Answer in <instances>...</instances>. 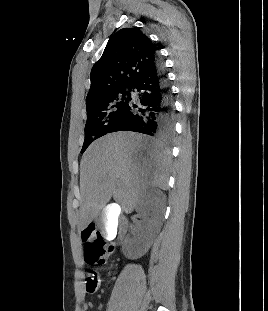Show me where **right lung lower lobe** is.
<instances>
[{
    "label": "right lung lower lobe",
    "mask_w": 268,
    "mask_h": 311,
    "mask_svg": "<svg viewBox=\"0 0 268 311\" xmlns=\"http://www.w3.org/2000/svg\"><path fill=\"white\" fill-rule=\"evenodd\" d=\"M134 94L110 132L133 131L164 140L174 134L175 111L162 60L154 64L131 86Z\"/></svg>",
    "instance_id": "1"
}]
</instances>
